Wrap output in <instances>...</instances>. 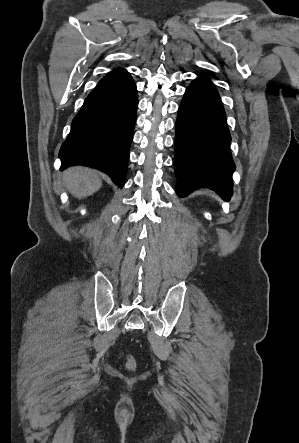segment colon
<instances>
[{"label": "colon", "mask_w": 299, "mask_h": 443, "mask_svg": "<svg viewBox=\"0 0 299 443\" xmlns=\"http://www.w3.org/2000/svg\"><path fill=\"white\" fill-rule=\"evenodd\" d=\"M126 365H127V368H128V369H134V367H135V362H134L133 359L128 358V359H127V363H126Z\"/></svg>", "instance_id": "1"}]
</instances>
